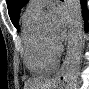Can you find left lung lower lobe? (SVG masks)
<instances>
[{
    "label": "left lung lower lobe",
    "instance_id": "left-lung-lower-lobe-1",
    "mask_svg": "<svg viewBox=\"0 0 89 89\" xmlns=\"http://www.w3.org/2000/svg\"><path fill=\"white\" fill-rule=\"evenodd\" d=\"M81 4H82L83 16H84L85 19H87L88 11H87V7H86V1L85 0H81Z\"/></svg>",
    "mask_w": 89,
    "mask_h": 89
}]
</instances>
